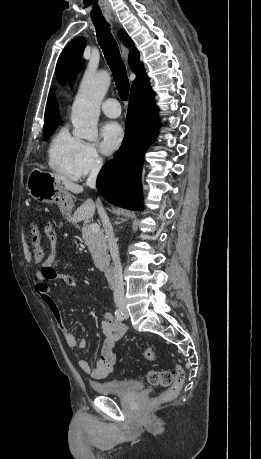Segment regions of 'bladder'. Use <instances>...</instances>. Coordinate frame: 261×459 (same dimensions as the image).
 Segmentation results:
<instances>
[{"label": "bladder", "mask_w": 261, "mask_h": 459, "mask_svg": "<svg viewBox=\"0 0 261 459\" xmlns=\"http://www.w3.org/2000/svg\"><path fill=\"white\" fill-rule=\"evenodd\" d=\"M92 389L102 395H129L142 389L141 381L137 379H113L104 382H92Z\"/></svg>", "instance_id": "31cf9c89"}]
</instances>
